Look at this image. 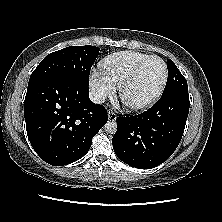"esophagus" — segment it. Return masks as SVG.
<instances>
[{"instance_id": "esophagus-1", "label": "esophagus", "mask_w": 222, "mask_h": 222, "mask_svg": "<svg viewBox=\"0 0 222 222\" xmlns=\"http://www.w3.org/2000/svg\"><path fill=\"white\" fill-rule=\"evenodd\" d=\"M116 118H117V115H116L114 112H112V111H109V112H108V119H109V120L115 121Z\"/></svg>"}]
</instances>
